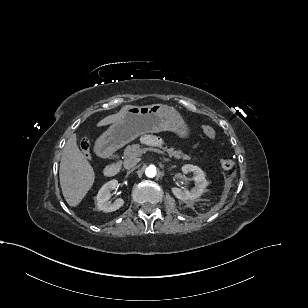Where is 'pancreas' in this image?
<instances>
[{"label": "pancreas", "mask_w": 308, "mask_h": 308, "mask_svg": "<svg viewBox=\"0 0 308 308\" xmlns=\"http://www.w3.org/2000/svg\"><path fill=\"white\" fill-rule=\"evenodd\" d=\"M162 153L166 152L170 157L190 159L189 156L183 154L180 150H175L174 148L163 147ZM145 149H141L139 144L128 145L123 153V161H120L123 164L125 169L133 168L139 161L140 156Z\"/></svg>", "instance_id": "1"}]
</instances>
